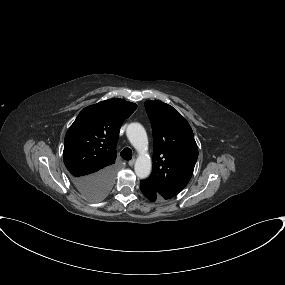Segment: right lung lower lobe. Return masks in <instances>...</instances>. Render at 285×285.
<instances>
[{
	"mask_svg": "<svg viewBox=\"0 0 285 285\" xmlns=\"http://www.w3.org/2000/svg\"><path fill=\"white\" fill-rule=\"evenodd\" d=\"M115 176V166H109L101 171L84 176L75 177L71 175V181L77 190L85 197L95 194L108 193L111 190Z\"/></svg>",
	"mask_w": 285,
	"mask_h": 285,
	"instance_id": "1",
	"label": "right lung lower lobe"
}]
</instances>
